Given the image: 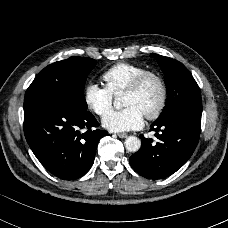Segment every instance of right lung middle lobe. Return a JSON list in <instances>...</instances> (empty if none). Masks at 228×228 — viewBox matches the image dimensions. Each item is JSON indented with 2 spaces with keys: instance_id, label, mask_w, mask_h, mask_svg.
Instances as JSON below:
<instances>
[{
  "instance_id": "dd1d6c3e",
  "label": "right lung middle lobe",
  "mask_w": 228,
  "mask_h": 228,
  "mask_svg": "<svg viewBox=\"0 0 228 228\" xmlns=\"http://www.w3.org/2000/svg\"><path fill=\"white\" fill-rule=\"evenodd\" d=\"M96 61L85 57H70L45 67L25 93V100L54 97L87 110L84 86Z\"/></svg>"
}]
</instances>
